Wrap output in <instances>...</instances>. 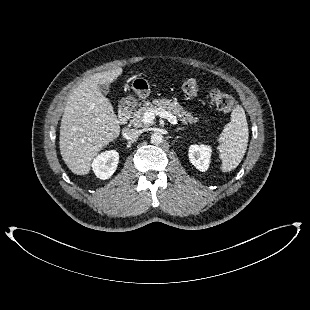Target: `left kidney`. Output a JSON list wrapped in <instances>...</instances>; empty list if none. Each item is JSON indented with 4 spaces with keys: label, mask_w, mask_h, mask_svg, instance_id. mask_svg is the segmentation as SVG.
Here are the masks:
<instances>
[{
    "label": "left kidney",
    "mask_w": 310,
    "mask_h": 310,
    "mask_svg": "<svg viewBox=\"0 0 310 310\" xmlns=\"http://www.w3.org/2000/svg\"><path fill=\"white\" fill-rule=\"evenodd\" d=\"M212 149L207 145H191L189 147V160L199 171L205 172L209 168Z\"/></svg>",
    "instance_id": "5707ae66"
}]
</instances>
